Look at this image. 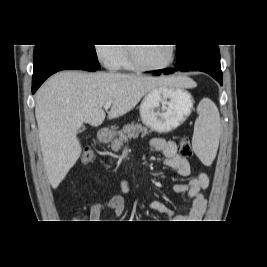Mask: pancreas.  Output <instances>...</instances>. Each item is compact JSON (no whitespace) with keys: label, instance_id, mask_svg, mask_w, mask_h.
Wrapping results in <instances>:
<instances>
[{"label":"pancreas","instance_id":"obj_1","mask_svg":"<svg viewBox=\"0 0 267 267\" xmlns=\"http://www.w3.org/2000/svg\"><path fill=\"white\" fill-rule=\"evenodd\" d=\"M142 133L143 136L148 134V129L141 124H127L121 131L118 132L119 137L114 139L111 148L117 152L121 149L124 142H127L129 138H136Z\"/></svg>","mask_w":267,"mask_h":267}]
</instances>
